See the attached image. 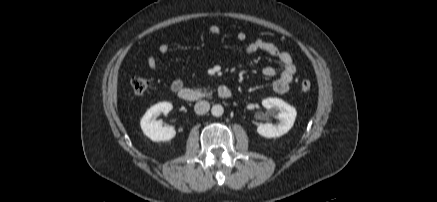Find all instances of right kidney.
Wrapping results in <instances>:
<instances>
[{"instance_id": "right-kidney-1", "label": "right kidney", "mask_w": 437, "mask_h": 202, "mask_svg": "<svg viewBox=\"0 0 437 202\" xmlns=\"http://www.w3.org/2000/svg\"><path fill=\"white\" fill-rule=\"evenodd\" d=\"M173 106L169 102H160L149 108L140 121L143 133L154 142L169 141L175 137L176 131L172 126L162 127L156 118L161 114H168Z\"/></svg>"}]
</instances>
